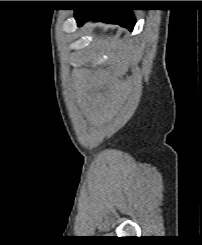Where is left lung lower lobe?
<instances>
[{
  "instance_id": "1",
  "label": "left lung lower lobe",
  "mask_w": 202,
  "mask_h": 245,
  "mask_svg": "<svg viewBox=\"0 0 202 245\" xmlns=\"http://www.w3.org/2000/svg\"><path fill=\"white\" fill-rule=\"evenodd\" d=\"M75 12L78 26L87 20H93L119 24L132 31L135 25L134 15L128 9H77Z\"/></svg>"
}]
</instances>
